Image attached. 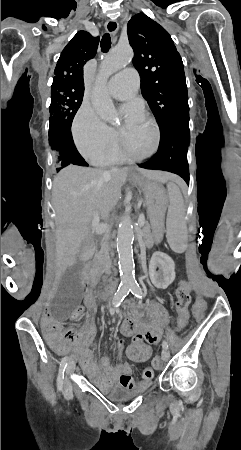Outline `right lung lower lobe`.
I'll list each match as a JSON object with an SVG mask.
<instances>
[{
  "label": "right lung lower lobe",
  "instance_id": "obj_1",
  "mask_svg": "<svg viewBox=\"0 0 241 450\" xmlns=\"http://www.w3.org/2000/svg\"><path fill=\"white\" fill-rule=\"evenodd\" d=\"M65 147H66V156L68 157V161L70 164L88 166V164L85 162V160L77 151L73 139H67L65 141Z\"/></svg>",
  "mask_w": 241,
  "mask_h": 450
}]
</instances>
